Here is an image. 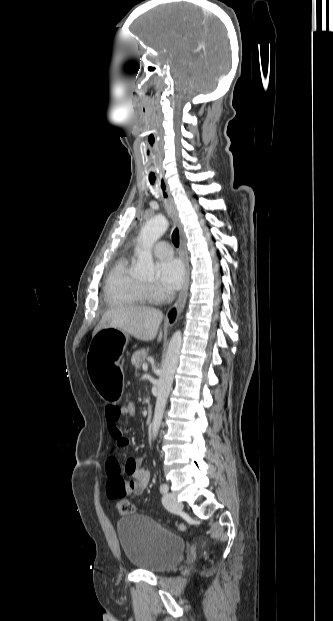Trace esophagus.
I'll list each match as a JSON object with an SVG mask.
<instances>
[{
	"label": "esophagus",
	"instance_id": "obj_1",
	"mask_svg": "<svg viewBox=\"0 0 333 621\" xmlns=\"http://www.w3.org/2000/svg\"><path fill=\"white\" fill-rule=\"evenodd\" d=\"M158 188H159L160 196H161V199L163 201L166 211L168 212L169 216L172 218V220L175 222V224L177 225L179 229L180 252H181V256L184 261V264H185L184 288L181 291L177 302L169 309L167 316H166V324L173 325L178 320L186 303L188 287H189L190 266H189L188 253L186 249V238H185V234L183 231V226H182V223L180 222L178 210L170 194L168 185L165 182V179L162 174L158 175Z\"/></svg>",
	"mask_w": 333,
	"mask_h": 621
}]
</instances>
